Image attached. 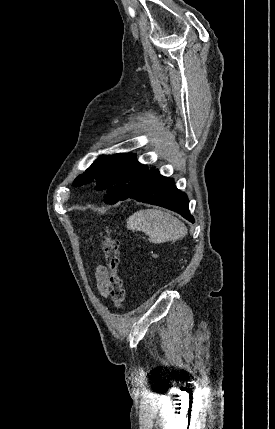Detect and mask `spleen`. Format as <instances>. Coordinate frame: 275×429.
Returning <instances> with one entry per match:
<instances>
[{
	"instance_id": "1",
	"label": "spleen",
	"mask_w": 275,
	"mask_h": 429,
	"mask_svg": "<svg viewBox=\"0 0 275 429\" xmlns=\"http://www.w3.org/2000/svg\"><path fill=\"white\" fill-rule=\"evenodd\" d=\"M127 229L143 231L154 244L183 238L186 226L176 217L159 209H146L135 212L127 219Z\"/></svg>"
}]
</instances>
